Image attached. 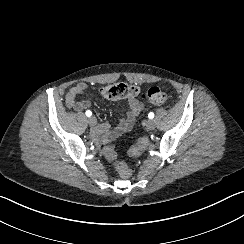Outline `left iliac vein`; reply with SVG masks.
I'll return each instance as SVG.
<instances>
[{
  "instance_id": "1",
  "label": "left iliac vein",
  "mask_w": 244,
  "mask_h": 244,
  "mask_svg": "<svg viewBox=\"0 0 244 244\" xmlns=\"http://www.w3.org/2000/svg\"><path fill=\"white\" fill-rule=\"evenodd\" d=\"M145 127L147 130L152 131L155 128V122L153 120L149 119L145 122Z\"/></svg>"
}]
</instances>
